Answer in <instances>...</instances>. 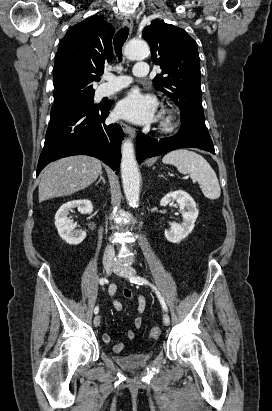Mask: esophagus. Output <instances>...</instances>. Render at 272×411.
<instances>
[{"label": "esophagus", "instance_id": "1", "mask_svg": "<svg viewBox=\"0 0 272 411\" xmlns=\"http://www.w3.org/2000/svg\"><path fill=\"white\" fill-rule=\"evenodd\" d=\"M123 25L128 27V28H132L133 26V18L131 16H126L124 21H123ZM120 125L122 127V129L124 130L125 133L129 134L132 138H135L136 135V130L129 126L128 124L124 123V122H120Z\"/></svg>", "mask_w": 272, "mask_h": 411}]
</instances>
